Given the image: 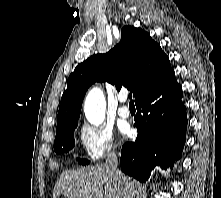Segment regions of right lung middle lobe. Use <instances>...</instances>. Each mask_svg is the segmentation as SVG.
Segmentation results:
<instances>
[{
	"label": "right lung middle lobe",
	"instance_id": "1",
	"mask_svg": "<svg viewBox=\"0 0 221 198\" xmlns=\"http://www.w3.org/2000/svg\"><path fill=\"white\" fill-rule=\"evenodd\" d=\"M76 127L70 128L66 131L59 132L56 134L55 141H54V151L57 154L66 153L70 149L74 147V130ZM80 164H88V160H81L80 158L77 159Z\"/></svg>",
	"mask_w": 221,
	"mask_h": 198
}]
</instances>
